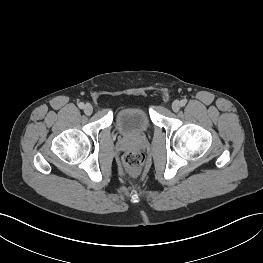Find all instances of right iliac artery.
Returning a JSON list of instances; mask_svg holds the SVG:
<instances>
[{"label":"right iliac artery","instance_id":"1","mask_svg":"<svg viewBox=\"0 0 263 263\" xmlns=\"http://www.w3.org/2000/svg\"><path fill=\"white\" fill-rule=\"evenodd\" d=\"M78 107H79L80 109H83V108H84V103H83V102H80V103L78 104Z\"/></svg>","mask_w":263,"mask_h":263}]
</instances>
